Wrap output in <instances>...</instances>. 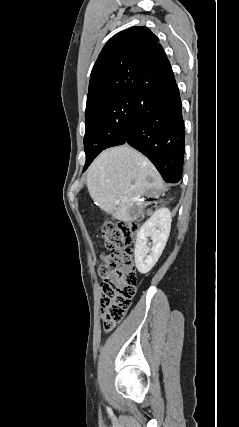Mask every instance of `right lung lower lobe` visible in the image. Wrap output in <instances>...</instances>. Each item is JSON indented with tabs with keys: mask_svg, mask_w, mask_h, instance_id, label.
Segmentation results:
<instances>
[{
	"mask_svg": "<svg viewBox=\"0 0 239 427\" xmlns=\"http://www.w3.org/2000/svg\"><path fill=\"white\" fill-rule=\"evenodd\" d=\"M124 143L148 157L166 182L181 180L185 129L175 81L140 96Z\"/></svg>",
	"mask_w": 239,
	"mask_h": 427,
	"instance_id": "98d812e1",
	"label": "right lung lower lobe"
}]
</instances>
